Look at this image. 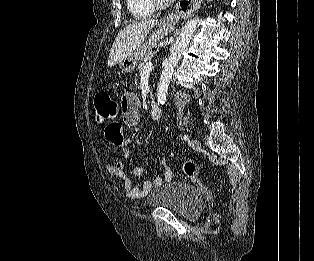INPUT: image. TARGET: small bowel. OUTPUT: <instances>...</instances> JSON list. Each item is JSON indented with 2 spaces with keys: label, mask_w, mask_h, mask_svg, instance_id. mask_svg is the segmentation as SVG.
<instances>
[{
  "label": "small bowel",
  "mask_w": 314,
  "mask_h": 261,
  "mask_svg": "<svg viewBox=\"0 0 314 261\" xmlns=\"http://www.w3.org/2000/svg\"><path fill=\"white\" fill-rule=\"evenodd\" d=\"M120 110L123 120L129 126H134L137 123L140 113V100L137 94L133 91H126L120 100ZM125 127L122 120H107L104 124L103 136L107 140L109 148H120L125 159H129V145L138 135L137 129H132L130 134L125 138ZM123 140V141H122ZM156 163L162 168V176H155L152 179H147L143 182L142 187L134 186L131 177L125 170L123 161L108 166V171L113 179L122 183L124 194L129 199H139L147 196L154 187H158L164 182H168L173 177V172L163 158L157 159ZM146 171L145 166H135L131 168V174L135 177L142 176Z\"/></svg>",
  "instance_id": "c3829d8e"
}]
</instances>
